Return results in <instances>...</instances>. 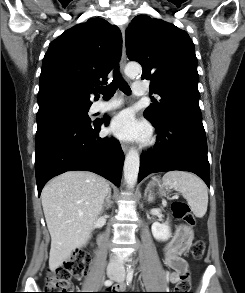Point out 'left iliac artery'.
I'll use <instances>...</instances> for the list:
<instances>
[{"instance_id": "left-iliac-artery-1", "label": "left iliac artery", "mask_w": 245, "mask_h": 293, "mask_svg": "<svg viewBox=\"0 0 245 293\" xmlns=\"http://www.w3.org/2000/svg\"><path fill=\"white\" fill-rule=\"evenodd\" d=\"M133 273H134V269L133 268H130L128 270V273H127V285L131 283L132 279H133Z\"/></svg>"}]
</instances>
